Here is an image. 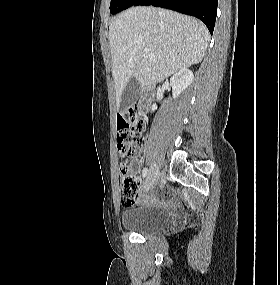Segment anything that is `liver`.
Listing matches in <instances>:
<instances>
[{"mask_svg": "<svg viewBox=\"0 0 280 285\" xmlns=\"http://www.w3.org/2000/svg\"><path fill=\"white\" fill-rule=\"evenodd\" d=\"M209 40L205 25L174 11L132 7L119 15L109 27L117 110L130 78H136L141 88L155 85L201 62ZM145 48L154 60L144 54Z\"/></svg>", "mask_w": 280, "mask_h": 285, "instance_id": "liver-1", "label": "liver"}]
</instances>
